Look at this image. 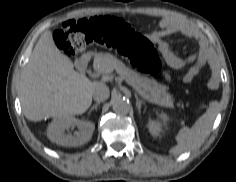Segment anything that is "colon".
<instances>
[{"mask_svg":"<svg viewBox=\"0 0 236 182\" xmlns=\"http://www.w3.org/2000/svg\"><path fill=\"white\" fill-rule=\"evenodd\" d=\"M55 42L75 56L92 44L116 48L139 71L155 75L161 65L152 43L124 20L106 16L68 20L56 27Z\"/></svg>","mask_w":236,"mask_h":182,"instance_id":"colon-1","label":"colon"}]
</instances>
